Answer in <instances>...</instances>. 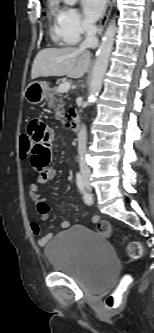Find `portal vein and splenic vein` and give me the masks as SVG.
<instances>
[{
	"instance_id": "portal-vein-and-splenic-vein-1",
	"label": "portal vein and splenic vein",
	"mask_w": 154,
	"mask_h": 333,
	"mask_svg": "<svg viewBox=\"0 0 154 333\" xmlns=\"http://www.w3.org/2000/svg\"><path fill=\"white\" fill-rule=\"evenodd\" d=\"M70 87H71L70 82H64L58 86L57 91L60 93H64V92H67L70 89Z\"/></svg>"
}]
</instances>
